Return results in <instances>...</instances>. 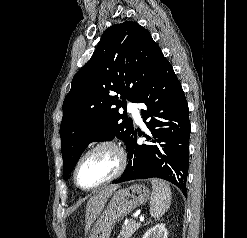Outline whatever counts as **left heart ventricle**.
<instances>
[{
  "instance_id": "1",
  "label": "left heart ventricle",
  "mask_w": 247,
  "mask_h": 238,
  "mask_svg": "<svg viewBox=\"0 0 247 238\" xmlns=\"http://www.w3.org/2000/svg\"><path fill=\"white\" fill-rule=\"evenodd\" d=\"M117 166L116 154L107 148L100 149L83 160L77 173L78 182L84 187L93 186L110 177Z\"/></svg>"
}]
</instances>
